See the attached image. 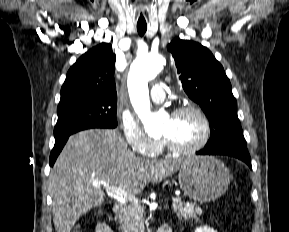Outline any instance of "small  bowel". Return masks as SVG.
Wrapping results in <instances>:
<instances>
[{
	"instance_id": "small-bowel-1",
	"label": "small bowel",
	"mask_w": 289,
	"mask_h": 232,
	"mask_svg": "<svg viewBox=\"0 0 289 232\" xmlns=\"http://www.w3.org/2000/svg\"><path fill=\"white\" fill-rule=\"evenodd\" d=\"M95 232H113V230L105 223H98Z\"/></svg>"
}]
</instances>
